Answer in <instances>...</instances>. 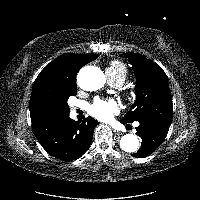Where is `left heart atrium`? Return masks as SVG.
<instances>
[{"mask_svg":"<svg viewBox=\"0 0 200 200\" xmlns=\"http://www.w3.org/2000/svg\"><path fill=\"white\" fill-rule=\"evenodd\" d=\"M89 113L99 120L108 121L118 113V105L112 99H97L89 107Z\"/></svg>","mask_w":200,"mask_h":200,"instance_id":"39dd6f15","label":"left heart atrium"}]
</instances>
